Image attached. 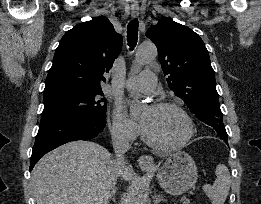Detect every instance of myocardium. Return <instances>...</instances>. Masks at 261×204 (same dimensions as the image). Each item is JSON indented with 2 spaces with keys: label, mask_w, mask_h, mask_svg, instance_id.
Instances as JSON below:
<instances>
[{
  "label": "myocardium",
  "mask_w": 261,
  "mask_h": 204,
  "mask_svg": "<svg viewBox=\"0 0 261 204\" xmlns=\"http://www.w3.org/2000/svg\"><path fill=\"white\" fill-rule=\"evenodd\" d=\"M152 108L154 109H165V108H172L177 110L185 119L186 123H187V134L184 137L183 140H181L178 143L175 144H163L159 141H157L150 133L149 131L141 124L142 127V132L144 135V138L146 140V142L159 150H165V151H173V150H178L183 148L184 146H186L188 144V142L192 139L193 135H194V123L192 118L190 117V115L188 114V112L184 109L183 106H181L180 104L173 102V101H159V102H155L151 105Z\"/></svg>",
  "instance_id": "obj_1"
}]
</instances>
